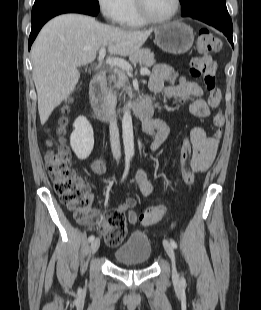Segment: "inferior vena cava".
<instances>
[{
	"mask_svg": "<svg viewBox=\"0 0 261 310\" xmlns=\"http://www.w3.org/2000/svg\"><path fill=\"white\" fill-rule=\"evenodd\" d=\"M106 106L108 108V112L110 114V143H111V150L113 157L119 161L121 157V147H120V140H119V129L117 126L116 118H115V108L117 104V97L115 93L108 91L105 99Z\"/></svg>",
	"mask_w": 261,
	"mask_h": 310,
	"instance_id": "inferior-vena-cava-1",
	"label": "inferior vena cava"
}]
</instances>
